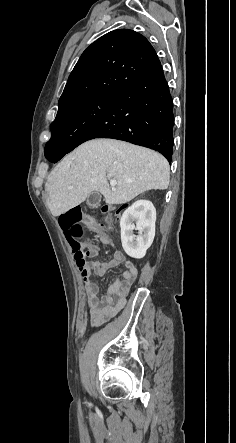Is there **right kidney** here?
Returning a JSON list of instances; mask_svg holds the SVG:
<instances>
[{"instance_id":"ca27d5eb","label":"right kidney","mask_w":236,"mask_h":443,"mask_svg":"<svg viewBox=\"0 0 236 443\" xmlns=\"http://www.w3.org/2000/svg\"><path fill=\"white\" fill-rule=\"evenodd\" d=\"M155 221L156 210L148 200H137L125 210L120 227L122 247L127 255L137 259L145 256L155 236ZM134 230H138V236Z\"/></svg>"}]
</instances>
